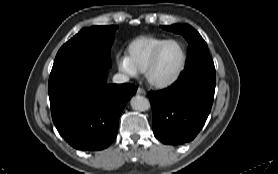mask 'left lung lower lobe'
<instances>
[{"label":"left lung lower lobe","instance_id":"left-lung-lower-lobe-1","mask_svg":"<svg viewBox=\"0 0 278 174\" xmlns=\"http://www.w3.org/2000/svg\"><path fill=\"white\" fill-rule=\"evenodd\" d=\"M215 75L195 73L161 91L148 93L154 135L164 144L178 145L195 138L212 107Z\"/></svg>","mask_w":278,"mask_h":174}]
</instances>
